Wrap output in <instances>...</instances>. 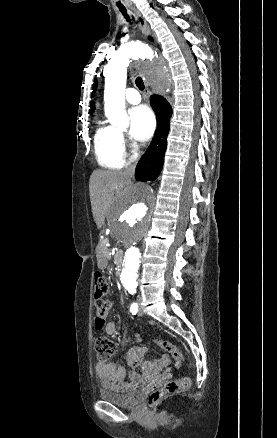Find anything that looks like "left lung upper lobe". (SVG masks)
Listing matches in <instances>:
<instances>
[{"instance_id": "obj_1", "label": "left lung upper lobe", "mask_w": 277, "mask_h": 438, "mask_svg": "<svg viewBox=\"0 0 277 438\" xmlns=\"http://www.w3.org/2000/svg\"><path fill=\"white\" fill-rule=\"evenodd\" d=\"M96 87H97V81L95 80V81H94V86H93V93L95 92Z\"/></svg>"}]
</instances>
